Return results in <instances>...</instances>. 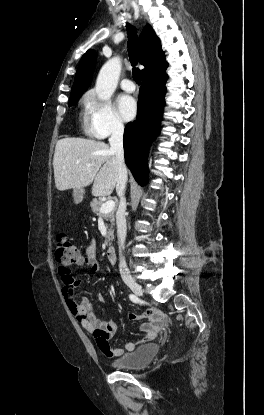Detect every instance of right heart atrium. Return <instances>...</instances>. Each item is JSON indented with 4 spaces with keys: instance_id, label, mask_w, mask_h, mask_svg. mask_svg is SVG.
Here are the masks:
<instances>
[{
    "instance_id": "obj_1",
    "label": "right heart atrium",
    "mask_w": 264,
    "mask_h": 415,
    "mask_svg": "<svg viewBox=\"0 0 264 415\" xmlns=\"http://www.w3.org/2000/svg\"><path fill=\"white\" fill-rule=\"evenodd\" d=\"M88 119L91 132L99 138L118 134L124 130V123L113 105L108 101H100L94 96L88 100Z\"/></svg>"
}]
</instances>
